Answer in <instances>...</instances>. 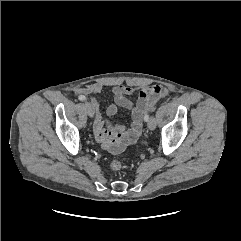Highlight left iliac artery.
I'll return each instance as SVG.
<instances>
[{"label": "left iliac artery", "mask_w": 241, "mask_h": 241, "mask_svg": "<svg viewBox=\"0 0 241 241\" xmlns=\"http://www.w3.org/2000/svg\"><path fill=\"white\" fill-rule=\"evenodd\" d=\"M144 120L148 121L149 120V115L146 114L145 117H144Z\"/></svg>", "instance_id": "44dca946"}]
</instances>
